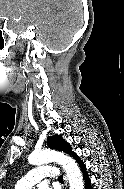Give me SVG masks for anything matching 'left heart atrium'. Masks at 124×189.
Wrapping results in <instances>:
<instances>
[{"label": "left heart atrium", "instance_id": "left-heart-atrium-1", "mask_svg": "<svg viewBox=\"0 0 124 189\" xmlns=\"http://www.w3.org/2000/svg\"><path fill=\"white\" fill-rule=\"evenodd\" d=\"M42 189H51V188H49V187H43Z\"/></svg>", "mask_w": 124, "mask_h": 189}]
</instances>
